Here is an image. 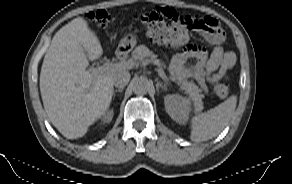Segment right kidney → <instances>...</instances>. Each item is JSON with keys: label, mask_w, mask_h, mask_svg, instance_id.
Listing matches in <instances>:
<instances>
[{"label": "right kidney", "mask_w": 292, "mask_h": 184, "mask_svg": "<svg viewBox=\"0 0 292 184\" xmlns=\"http://www.w3.org/2000/svg\"><path fill=\"white\" fill-rule=\"evenodd\" d=\"M113 115H114L113 110L106 111L101 117V123L106 124L111 122Z\"/></svg>", "instance_id": "obj_1"}]
</instances>
